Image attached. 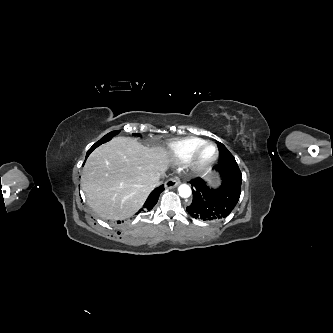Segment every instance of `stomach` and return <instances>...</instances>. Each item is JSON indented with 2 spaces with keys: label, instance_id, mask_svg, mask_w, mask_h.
<instances>
[{
  "label": "stomach",
  "instance_id": "stomach-1",
  "mask_svg": "<svg viewBox=\"0 0 333 333\" xmlns=\"http://www.w3.org/2000/svg\"><path fill=\"white\" fill-rule=\"evenodd\" d=\"M209 181H210L211 184H213L214 186L217 185V184L219 183V181H218V177H216L215 175L209 177Z\"/></svg>",
  "mask_w": 333,
  "mask_h": 333
}]
</instances>
